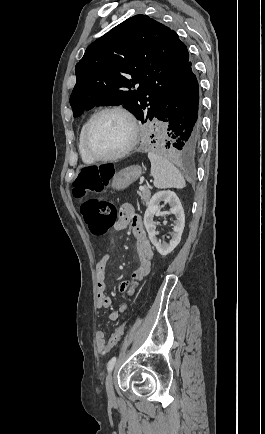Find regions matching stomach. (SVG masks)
Instances as JSON below:
<instances>
[{
	"label": "stomach",
	"mask_w": 265,
	"mask_h": 434,
	"mask_svg": "<svg viewBox=\"0 0 265 434\" xmlns=\"http://www.w3.org/2000/svg\"><path fill=\"white\" fill-rule=\"evenodd\" d=\"M142 174V170L140 166H130V168H125V170H121L118 174H115L112 178L111 188L113 190H124V188H128L130 184L136 182L138 178H140Z\"/></svg>",
	"instance_id": "stomach-1"
}]
</instances>
